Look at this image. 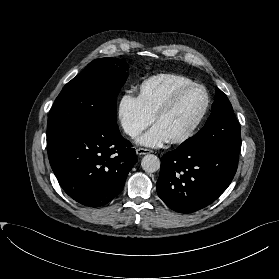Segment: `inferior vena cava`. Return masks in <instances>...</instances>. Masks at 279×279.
<instances>
[{"instance_id": "602c4592", "label": "inferior vena cava", "mask_w": 279, "mask_h": 279, "mask_svg": "<svg viewBox=\"0 0 279 279\" xmlns=\"http://www.w3.org/2000/svg\"><path fill=\"white\" fill-rule=\"evenodd\" d=\"M129 134H130V135H132V136H135V135H137V134H138V132H137V131H135V130H131V131L129 132Z\"/></svg>"}]
</instances>
